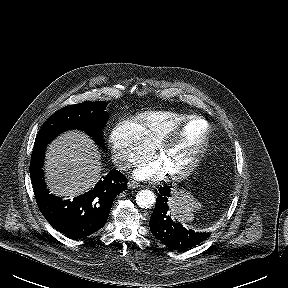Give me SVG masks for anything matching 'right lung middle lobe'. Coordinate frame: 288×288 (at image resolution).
Returning <instances> with one entry per match:
<instances>
[{
	"mask_svg": "<svg viewBox=\"0 0 288 288\" xmlns=\"http://www.w3.org/2000/svg\"><path fill=\"white\" fill-rule=\"evenodd\" d=\"M106 105L107 102L85 101L63 107L43 124L36 137L34 147L46 145L59 133L68 129L85 131L102 144V129L108 115L105 111Z\"/></svg>",
	"mask_w": 288,
	"mask_h": 288,
	"instance_id": "obj_1",
	"label": "right lung middle lobe"
}]
</instances>
